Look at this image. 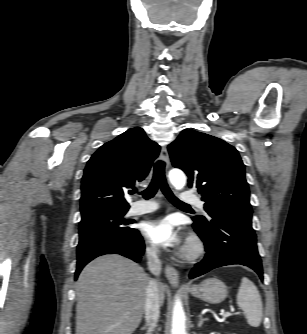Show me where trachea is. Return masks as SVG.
<instances>
[{
    "label": "trachea",
    "instance_id": "1",
    "mask_svg": "<svg viewBox=\"0 0 307 334\" xmlns=\"http://www.w3.org/2000/svg\"><path fill=\"white\" fill-rule=\"evenodd\" d=\"M159 188L161 189L163 194L167 197V199L173 204L189 206L188 204L180 201L177 197H175L172 191L170 190L165 178V163L160 160L155 163L153 178L151 180L150 185L141 194L145 199H150L154 197Z\"/></svg>",
    "mask_w": 307,
    "mask_h": 334
}]
</instances>
